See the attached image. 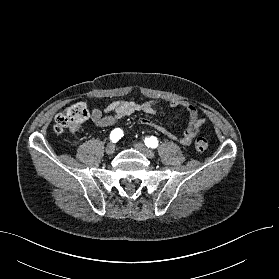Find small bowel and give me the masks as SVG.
Wrapping results in <instances>:
<instances>
[{"instance_id":"c3829d8e","label":"small bowel","mask_w":279,"mask_h":279,"mask_svg":"<svg viewBox=\"0 0 279 279\" xmlns=\"http://www.w3.org/2000/svg\"><path fill=\"white\" fill-rule=\"evenodd\" d=\"M158 104L159 102L154 100L144 102L117 100L111 102L104 110L99 108L92 109L91 120L99 127H108L135 112H144L149 115H154L157 113ZM169 105L173 108L183 109L188 115V126L181 136H176L161 124L152 122L148 119H141L139 123L167 135L170 139L177 141L181 145H189L200 131L205 119L200 117L197 108L187 101L173 100Z\"/></svg>"}]
</instances>
